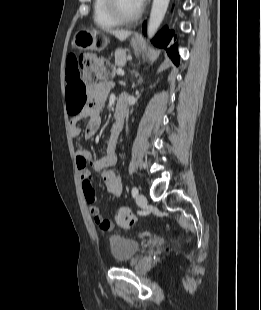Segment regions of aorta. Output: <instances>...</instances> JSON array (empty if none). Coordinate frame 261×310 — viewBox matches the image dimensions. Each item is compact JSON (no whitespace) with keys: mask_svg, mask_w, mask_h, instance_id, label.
<instances>
[{"mask_svg":"<svg viewBox=\"0 0 261 310\" xmlns=\"http://www.w3.org/2000/svg\"><path fill=\"white\" fill-rule=\"evenodd\" d=\"M170 0H153L149 22L147 25V35L152 38L160 27Z\"/></svg>","mask_w":261,"mask_h":310,"instance_id":"762f6f07","label":"aorta"}]
</instances>
